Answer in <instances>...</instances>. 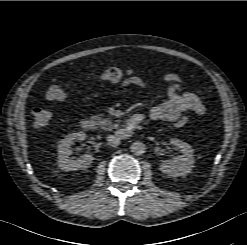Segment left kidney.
Here are the masks:
<instances>
[{"label":"left kidney","mask_w":247,"mask_h":245,"mask_svg":"<svg viewBox=\"0 0 247 245\" xmlns=\"http://www.w3.org/2000/svg\"><path fill=\"white\" fill-rule=\"evenodd\" d=\"M170 143L180 149L182 155L175 156L172 163L161 164L160 170L171 177L185 176L193 168L194 150L188 143L176 138L170 139Z\"/></svg>","instance_id":"5707ae66"}]
</instances>
